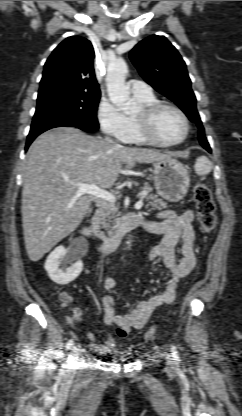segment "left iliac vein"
Returning <instances> with one entry per match:
<instances>
[{"mask_svg": "<svg viewBox=\"0 0 242 416\" xmlns=\"http://www.w3.org/2000/svg\"><path fill=\"white\" fill-rule=\"evenodd\" d=\"M168 365L170 366V367H172L173 365H172V361L171 360H169L168 361Z\"/></svg>", "mask_w": 242, "mask_h": 416, "instance_id": "left-iliac-vein-1", "label": "left iliac vein"}]
</instances>
